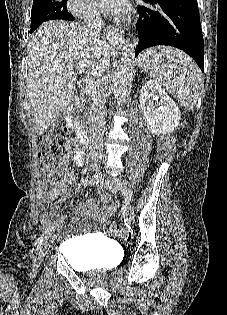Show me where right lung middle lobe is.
<instances>
[{
    "label": "right lung middle lobe",
    "instance_id": "obj_1",
    "mask_svg": "<svg viewBox=\"0 0 227 315\" xmlns=\"http://www.w3.org/2000/svg\"><path fill=\"white\" fill-rule=\"evenodd\" d=\"M66 3L67 0H33L30 33L48 20H74L67 10Z\"/></svg>",
    "mask_w": 227,
    "mask_h": 315
}]
</instances>
